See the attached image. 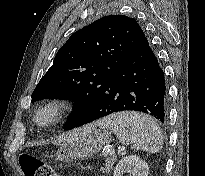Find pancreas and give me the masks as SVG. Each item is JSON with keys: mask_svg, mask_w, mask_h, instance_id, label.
<instances>
[{"mask_svg": "<svg viewBox=\"0 0 205 176\" xmlns=\"http://www.w3.org/2000/svg\"><path fill=\"white\" fill-rule=\"evenodd\" d=\"M115 161H116V156H115V155L106 156L105 166H104V167H101L100 170H101L103 173L106 172L107 174H109L110 171H111V169H112V167H113V165H114V163H115Z\"/></svg>", "mask_w": 205, "mask_h": 176, "instance_id": "cf45deb5", "label": "pancreas"}]
</instances>
